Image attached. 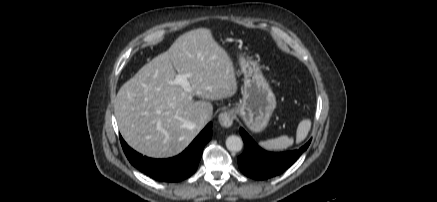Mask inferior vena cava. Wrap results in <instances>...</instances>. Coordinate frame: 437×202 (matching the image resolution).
<instances>
[{
	"mask_svg": "<svg viewBox=\"0 0 437 202\" xmlns=\"http://www.w3.org/2000/svg\"><path fill=\"white\" fill-rule=\"evenodd\" d=\"M209 120H210V116L207 113L201 114V116L199 118L200 123L203 124V125L208 123Z\"/></svg>",
	"mask_w": 437,
	"mask_h": 202,
	"instance_id": "inferior-vena-cava-1",
	"label": "inferior vena cava"
}]
</instances>
